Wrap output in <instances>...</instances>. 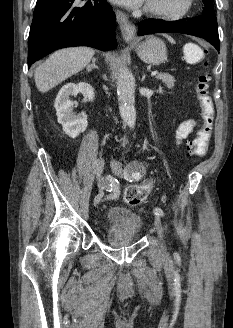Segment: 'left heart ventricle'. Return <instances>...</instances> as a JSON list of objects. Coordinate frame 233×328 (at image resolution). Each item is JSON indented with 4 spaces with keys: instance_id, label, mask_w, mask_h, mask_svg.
I'll return each instance as SVG.
<instances>
[{
    "instance_id": "left-heart-ventricle-1",
    "label": "left heart ventricle",
    "mask_w": 233,
    "mask_h": 328,
    "mask_svg": "<svg viewBox=\"0 0 233 328\" xmlns=\"http://www.w3.org/2000/svg\"><path fill=\"white\" fill-rule=\"evenodd\" d=\"M182 1L183 0H148L147 4L153 8L175 11L182 6Z\"/></svg>"
}]
</instances>
